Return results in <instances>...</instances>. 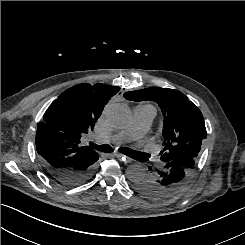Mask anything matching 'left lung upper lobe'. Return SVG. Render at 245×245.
<instances>
[{
	"instance_id": "left-lung-upper-lobe-1",
	"label": "left lung upper lobe",
	"mask_w": 245,
	"mask_h": 245,
	"mask_svg": "<svg viewBox=\"0 0 245 245\" xmlns=\"http://www.w3.org/2000/svg\"><path fill=\"white\" fill-rule=\"evenodd\" d=\"M127 100L154 101L163 113V143L160 159L166 163L180 157L197 159L201 143L206 138L201 111L180 91L149 87L124 94Z\"/></svg>"
}]
</instances>
